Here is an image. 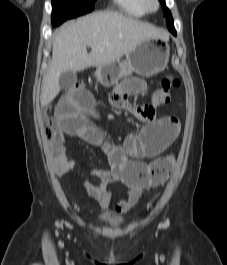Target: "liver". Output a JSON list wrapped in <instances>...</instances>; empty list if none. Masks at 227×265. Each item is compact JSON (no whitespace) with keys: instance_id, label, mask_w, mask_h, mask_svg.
Returning <instances> with one entry per match:
<instances>
[{"instance_id":"obj_1","label":"liver","mask_w":227,"mask_h":265,"mask_svg":"<svg viewBox=\"0 0 227 265\" xmlns=\"http://www.w3.org/2000/svg\"><path fill=\"white\" fill-rule=\"evenodd\" d=\"M167 38L165 31L115 11L92 13L64 23L55 32L52 62L41 87V106L51 103L60 92L63 72L104 66L120 60L147 39ZM87 46L91 47L89 54Z\"/></svg>"}]
</instances>
